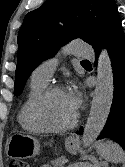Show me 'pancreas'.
Listing matches in <instances>:
<instances>
[{
    "label": "pancreas",
    "instance_id": "cf45deb5",
    "mask_svg": "<svg viewBox=\"0 0 125 167\" xmlns=\"http://www.w3.org/2000/svg\"><path fill=\"white\" fill-rule=\"evenodd\" d=\"M63 160H64V157H60V158H57L55 160H52L51 164L54 167H63V164H64V163H62Z\"/></svg>",
    "mask_w": 125,
    "mask_h": 167
}]
</instances>
